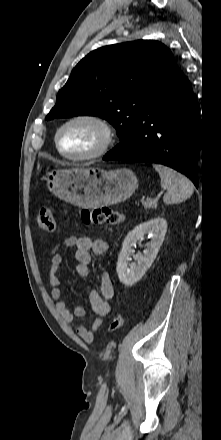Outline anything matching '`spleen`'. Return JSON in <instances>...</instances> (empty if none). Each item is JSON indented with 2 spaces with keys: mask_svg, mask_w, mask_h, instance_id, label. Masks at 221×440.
I'll return each mask as SVG.
<instances>
[{
  "mask_svg": "<svg viewBox=\"0 0 221 440\" xmlns=\"http://www.w3.org/2000/svg\"><path fill=\"white\" fill-rule=\"evenodd\" d=\"M153 167L159 173L161 187L167 190L163 197L166 204L179 203L191 197L193 184L187 177L163 165L154 164Z\"/></svg>",
  "mask_w": 221,
  "mask_h": 440,
  "instance_id": "obj_1",
  "label": "spleen"
}]
</instances>
